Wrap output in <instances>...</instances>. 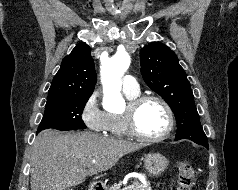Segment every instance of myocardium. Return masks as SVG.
Segmentation results:
<instances>
[{
    "instance_id": "f54148a6",
    "label": "myocardium",
    "mask_w": 238,
    "mask_h": 190,
    "mask_svg": "<svg viewBox=\"0 0 238 190\" xmlns=\"http://www.w3.org/2000/svg\"><path fill=\"white\" fill-rule=\"evenodd\" d=\"M148 101L158 102L164 108L168 116V127L162 134L158 136H149L144 134L137 125L138 111L140 107ZM124 118L129 134L145 142L163 141L170 136L175 127V117L172 108L163 98L153 94L138 95L135 98L129 100L124 111Z\"/></svg>"
}]
</instances>
